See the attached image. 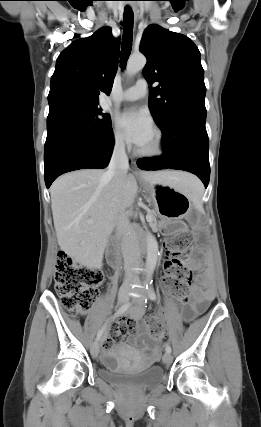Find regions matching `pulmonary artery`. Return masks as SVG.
<instances>
[{"label": "pulmonary artery", "instance_id": "obj_1", "mask_svg": "<svg viewBox=\"0 0 261 427\" xmlns=\"http://www.w3.org/2000/svg\"><path fill=\"white\" fill-rule=\"evenodd\" d=\"M147 92V82L143 79L138 80L136 84L125 91H123L118 96L114 97V100L118 101H136L145 96Z\"/></svg>", "mask_w": 261, "mask_h": 427}]
</instances>
